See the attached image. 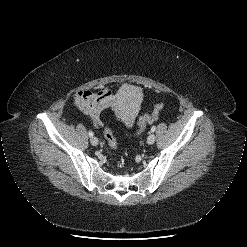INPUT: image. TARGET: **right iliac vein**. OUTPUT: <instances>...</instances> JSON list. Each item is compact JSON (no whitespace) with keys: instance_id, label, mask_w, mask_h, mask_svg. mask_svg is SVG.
<instances>
[{"instance_id":"63e3f726","label":"right iliac vein","mask_w":247,"mask_h":247,"mask_svg":"<svg viewBox=\"0 0 247 247\" xmlns=\"http://www.w3.org/2000/svg\"><path fill=\"white\" fill-rule=\"evenodd\" d=\"M90 142H91V144H92L93 146H97L98 143H99V141H98V139H97L96 137H92V138L90 139Z\"/></svg>"}]
</instances>
